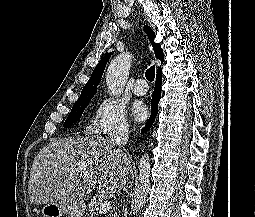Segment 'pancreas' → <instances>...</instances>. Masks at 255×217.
<instances>
[{"label":"pancreas","mask_w":255,"mask_h":217,"mask_svg":"<svg viewBox=\"0 0 255 217\" xmlns=\"http://www.w3.org/2000/svg\"><path fill=\"white\" fill-rule=\"evenodd\" d=\"M100 205V202L99 201H96V200H92L91 202H89L88 204V208H87V211H86V215L87 217H94V216H98L99 215V206ZM105 217H118L117 214L113 213V212H110L107 216Z\"/></svg>","instance_id":"1"}]
</instances>
